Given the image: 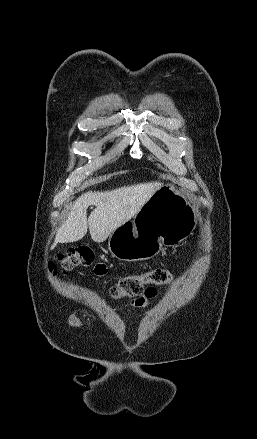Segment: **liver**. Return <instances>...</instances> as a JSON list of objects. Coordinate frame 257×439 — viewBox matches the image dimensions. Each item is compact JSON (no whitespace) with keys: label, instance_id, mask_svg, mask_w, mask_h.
Segmentation results:
<instances>
[{"label":"liver","instance_id":"6515ba94","mask_svg":"<svg viewBox=\"0 0 257 439\" xmlns=\"http://www.w3.org/2000/svg\"><path fill=\"white\" fill-rule=\"evenodd\" d=\"M161 186V182L155 181L123 186L111 191H89L82 194L73 203L52 247L58 242L81 240L88 227L93 241H105L116 228L134 217ZM91 205L95 206V209L87 218V209Z\"/></svg>","mask_w":257,"mask_h":439}]
</instances>
